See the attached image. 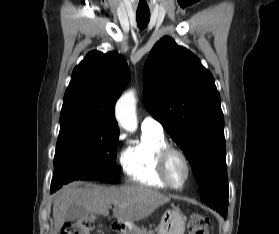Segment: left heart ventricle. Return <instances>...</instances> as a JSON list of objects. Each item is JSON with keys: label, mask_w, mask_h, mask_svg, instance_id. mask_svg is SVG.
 <instances>
[{"label": "left heart ventricle", "mask_w": 279, "mask_h": 234, "mask_svg": "<svg viewBox=\"0 0 279 234\" xmlns=\"http://www.w3.org/2000/svg\"><path fill=\"white\" fill-rule=\"evenodd\" d=\"M168 176L176 184H181L186 176V168L182 159L178 155H172L168 161Z\"/></svg>", "instance_id": "left-heart-ventricle-1"}]
</instances>
